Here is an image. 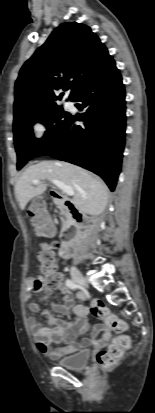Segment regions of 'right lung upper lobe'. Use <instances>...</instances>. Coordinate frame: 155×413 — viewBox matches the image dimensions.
<instances>
[{
    "label": "right lung upper lobe",
    "instance_id": "1",
    "mask_svg": "<svg viewBox=\"0 0 155 413\" xmlns=\"http://www.w3.org/2000/svg\"><path fill=\"white\" fill-rule=\"evenodd\" d=\"M115 61L90 27L76 22L56 28L22 66L15 83L14 123L56 107L55 91L71 82L69 100L105 76ZM72 80V81H70Z\"/></svg>",
    "mask_w": 155,
    "mask_h": 413
}]
</instances>
